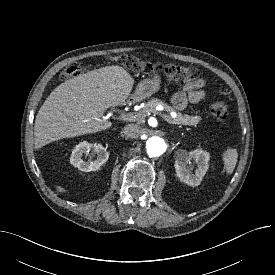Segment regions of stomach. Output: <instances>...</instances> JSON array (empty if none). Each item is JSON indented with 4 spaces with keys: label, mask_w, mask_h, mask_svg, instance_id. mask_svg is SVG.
Returning <instances> with one entry per match:
<instances>
[{
    "label": "stomach",
    "mask_w": 275,
    "mask_h": 275,
    "mask_svg": "<svg viewBox=\"0 0 275 275\" xmlns=\"http://www.w3.org/2000/svg\"><path fill=\"white\" fill-rule=\"evenodd\" d=\"M160 77L154 76L152 79L141 81L135 90L134 97L136 99H145L160 89Z\"/></svg>",
    "instance_id": "obj_1"
}]
</instances>
